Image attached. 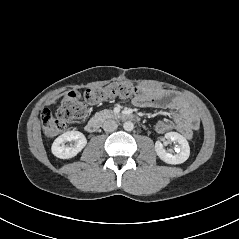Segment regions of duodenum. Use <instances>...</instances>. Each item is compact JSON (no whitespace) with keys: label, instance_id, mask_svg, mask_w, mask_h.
Here are the masks:
<instances>
[{"label":"duodenum","instance_id":"obj_1","mask_svg":"<svg viewBox=\"0 0 239 239\" xmlns=\"http://www.w3.org/2000/svg\"><path fill=\"white\" fill-rule=\"evenodd\" d=\"M120 119L122 120H132V121H138L139 120V116L137 114L134 113H129V112H123L117 115ZM102 116H95L92 117L88 123L86 124V131L93 133L96 132L102 123Z\"/></svg>","mask_w":239,"mask_h":239}]
</instances>
